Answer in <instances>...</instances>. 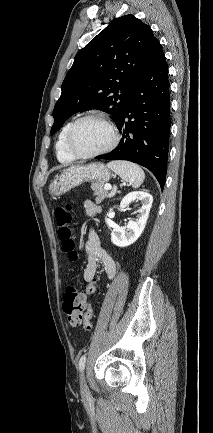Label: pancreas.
I'll return each instance as SVG.
<instances>
[{
	"instance_id": "pancreas-1",
	"label": "pancreas",
	"mask_w": 213,
	"mask_h": 433,
	"mask_svg": "<svg viewBox=\"0 0 213 433\" xmlns=\"http://www.w3.org/2000/svg\"><path fill=\"white\" fill-rule=\"evenodd\" d=\"M95 201L97 204H100L108 195L107 191L103 188L101 184L93 185Z\"/></svg>"
}]
</instances>
